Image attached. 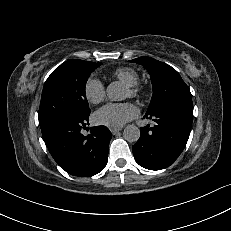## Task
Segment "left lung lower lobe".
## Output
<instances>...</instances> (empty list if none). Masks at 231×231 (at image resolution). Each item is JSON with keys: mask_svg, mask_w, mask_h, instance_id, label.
I'll use <instances>...</instances> for the list:
<instances>
[{"mask_svg": "<svg viewBox=\"0 0 231 231\" xmlns=\"http://www.w3.org/2000/svg\"><path fill=\"white\" fill-rule=\"evenodd\" d=\"M192 117V100H170L146 112L144 118L153 119L156 124L142 127L139 140L132 146L137 163L149 170L170 166L188 141Z\"/></svg>", "mask_w": 231, "mask_h": 231, "instance_id": "left-lung-lower-lobe-1", "label": "left lung lower lobe"}]
</instances>
